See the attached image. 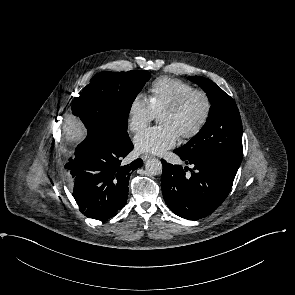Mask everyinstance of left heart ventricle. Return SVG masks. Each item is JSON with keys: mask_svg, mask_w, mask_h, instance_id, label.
Masks as SVG:
<instances>
[{"mask_svg": "<svg viewBox=\"0 0 295 295\" xmlns=\"http://www.w3.org/2000/svg\"><path fill=\"white\" fill-rule=\"evenodd\" d=\"M204 111V103L201 98L195 97L187 109L181 114H162L159 117L161 125L174 128L180 135L191 130L199 121Z\"/></svg>", "mask_w": 295, "mask_h": 295, "instance_id": "1", "label": "left heart ventricle"}]
</instances>
